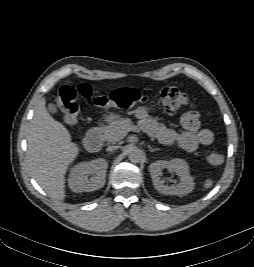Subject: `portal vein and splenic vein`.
<instances>
[{"label":"portal vein and splenic vein","mask_w":254,"mask_h":267,"mask_svg":"<svg viewBox=\"0 0 254 267\" xmlns=\"http://www.w3.org/2000/svg\"><path fill=\"white\" fill-rule=\"evenodd\" d=\"M129 131L139 132V131H138V128H137L136 126L131 125V126H129L126 130H124L122 133H123L124 136H125V135L127 134V132H129Z\"/></svg>","instance_id":"18ae733b"}]
</instances>
